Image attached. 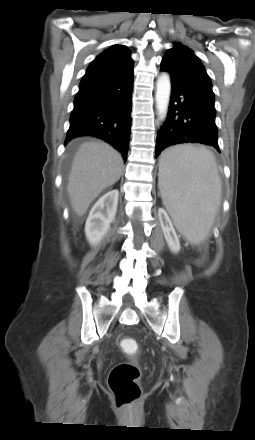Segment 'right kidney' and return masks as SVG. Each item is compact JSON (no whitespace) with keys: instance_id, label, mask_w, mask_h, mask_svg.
<instances>
[{"instance_id":"ca27d5eb","label":"right kidney","mask_w":255,"mask_h":440,"mask_svg":"<svg viewBox=\"0 0 255 440\" xmlns=\"http://www.w3.org/2000/svg\"><path fill=\"white\" fill-rule=\"evenodd\" d=\"M118 196L117 189L111 190L92 207L85 224V235L92 246L97 245L110 229L117 211Z\"/></svg>"}]
</instances>
